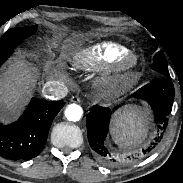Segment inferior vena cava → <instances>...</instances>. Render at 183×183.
<instances>
[{"label": "inferior vena cava", "instance_id": "1", "mask_svg": "<svg viewBox=\"0 0 183 183\" xmlns=\"http://www.w3.org/2000/svg\"><path fill=\"white\" fill-rule=\"evenodd\" d=\"M67 93V87L63 83L55 81L47 82L42 89L43 97L49 98L51 100H59L64 98Z\"/></svg>", "mask_w": 183, "mask_h": 183}]
</instances>
